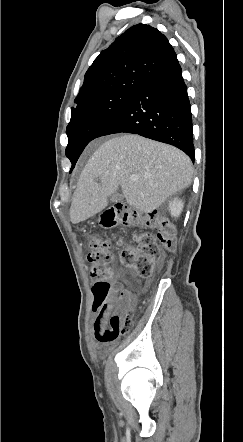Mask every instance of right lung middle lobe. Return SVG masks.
<instances>
[{
  "instance_id": "right-lung-middle-lobe-1",
  "label": "right lung middle lobe",
  "mask_w": 243,
  "mask_h": 442,
  "mask_svg": "<svg viewBox=\"0 0 243 442\" xmlns=\"http://www.w3.org/2000/svg\"><path fill=\"white\" fill-rule=\"evenodd\" d=\"M134 90H118L96 97L71 109V120L67 126L68 145L66 156L74 168L86 145L95 139V134L127 100Z\"/></svg>"
}]
</instances>
